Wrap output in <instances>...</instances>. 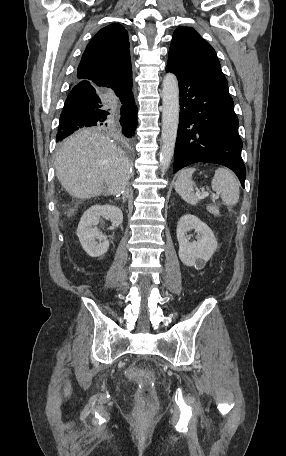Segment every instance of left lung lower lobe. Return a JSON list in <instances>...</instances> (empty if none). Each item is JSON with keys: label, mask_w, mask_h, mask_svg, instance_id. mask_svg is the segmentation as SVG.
I'll return each instance as SVG.
<instances>
[{"label": "left lung lower lobe", "mask_w": 286, "mask_h": 456, "mask_svg": "<svg viewBox=\"0 0 286 456\" xmlns=\"http://www.w3.org/2000/svg\"><path fill=\"white\" fill-rule=\"evenodd\" d=\"M177 76L180 116L173 172L197 162L224 165L244 187L246 169L241 158L238 118L227 91L200 77L166 66Z\"/></svg>", "instance_id": "left-lung-lower-lobe-1"}]
</instances>
